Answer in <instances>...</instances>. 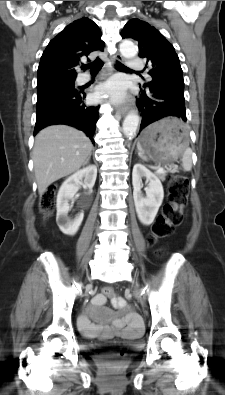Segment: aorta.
<instances>
[{
  "label": "aorta",
  "instance_id": "obj_1",
  "mask_svg": "<svg viewBox=\"0 0 225 395\" xmlns=\"http://www.w3.org/2000/svg\"><path fill=\"white\" fill-rule=\"evenodd\" d=\"M120 53L125 58H133L137 55L138 49L130 41H123L120 44ZM139 126V116L135 112H130L123 122V132L125 136H133Z\"/></svg>",
  "mask_w": 225,
  "mask_h": 395
}]
</instances>
